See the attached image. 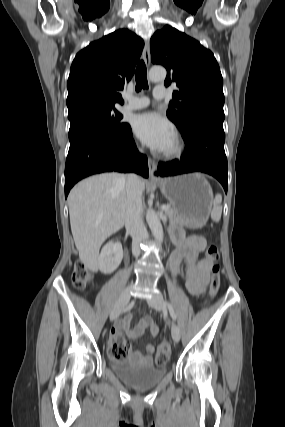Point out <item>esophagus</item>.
I'll use <instances>...</instances> for the list:
<instances>
[{
  "instance_id": "1",
  "label": "esophagus",
  "mask_w": 285,
  "mask_h": 427,
  "mask_svg": "<svg viewBox=\"0 0 285 427\" xmlns=\"http://www.w3.org/2000/svg\"><path fill=\"white\" fill-rule=\"evenodd\" d=\"M143 58H144V62L146 64V66H150L151 63V55H150V47H149V42L145 41V47H144V52H143ZM148 166H149V176L151 180H158L157 177H155L154 173L156 170V162L151 159L148 158Z\"/></svg>"
}]
</instances>
